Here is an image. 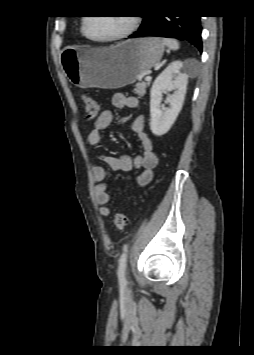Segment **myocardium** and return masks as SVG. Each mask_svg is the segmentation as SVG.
<instances>
[{
  "instance_id": "1",
  "label": "myocardium",
  "mask_w": 254,
  "mask_h": 355,
  "mask_svg": "<svg viewBox=\"0 0 254 355\" xmlns=\"http://www.w3.org/2000/svg\"><path fill=\"white\" fill-rule=\"evenodd\" d=\"M130 17V24L129 26L120 34H117L115 36L109 37V38H94L92 36L89 35L88 31H87V27H88V22L90 17H86L84 18L83 24H82V33L83 35L96 43H108V42H114V41H118V40H122L124 38H127L128 36H130L138 27L139 25V17L138 15H132L129 16Z\"/></svg>"
}]
</instances>
